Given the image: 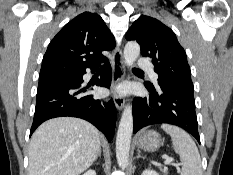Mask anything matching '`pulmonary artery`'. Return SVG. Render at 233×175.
Returning a JSON list of instances; mask_svg holds the SVG:
<instances>
[{
  "label": "pulmonary artery",
  "instance_id": "obj_1",
  "mask_svg": "<svg viewBox=\"0 0 233 175\" xmlns=\"http://www.w3.org/2000/svg\"><path fill=\"white\" fill-rule=\"evenodd\" d=\"M137 64L139 68L149 71L152 78L157 81L158 75L154 72L151 63L148 60L140 59Z\"/></svg>",
  "mask_w": 233,
  "mask_h": 175
}]
</instances>
